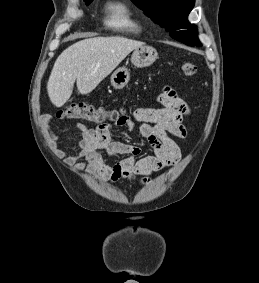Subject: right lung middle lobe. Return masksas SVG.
Here are the masks:
<instances>
[{
    "mask_svg": "<svg viewBox=\"0 0 259 283\" xmlns=\"http://www.w3.org/2000/svg\"><path fill=\"white\" fill-rule=\"evenodd\" d=\"M85 2L88 4H90L92 2V0H85Z\"/></svg>",
    "mask_w": 259,
    "mask_h": 283,
    "instance_id": "right-lung-middle-lobe-1",
    "label": "right lung middle lobe"
}]
</instances>
